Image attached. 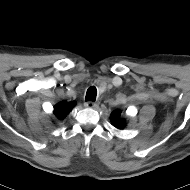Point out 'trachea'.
<instances>
[{
	"instance_id": "3493384b",
	"label": "trachea",
	"mask_w": 190,
	"mask_h": 190,
	"mask_svg": "<svg viewBox=\"0 0 190 190\" xmlns=\"http://www.w3.org/2000/svg\"><path fill=\"white\" fill-rule=\"evenodd\" d=\"M96 96H97V89H96V87L91 86L88 88V90L86 92L85 100L86 101H95Z\"/></svg>"
}]
</instances>
